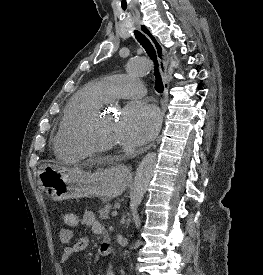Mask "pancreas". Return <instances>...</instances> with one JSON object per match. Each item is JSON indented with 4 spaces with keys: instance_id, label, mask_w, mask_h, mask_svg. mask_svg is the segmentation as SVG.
<instances>
[{
    "instance_id": "cf45deb5",
    "label": "pancreas",
    "mask_w": 263,
    "mask_h": 275,
    "mask_svg": "<svg viewBox=\"0 0 263 275\" xmlns=\"http://www.w3.org/2000/svg\"><path fill=\"white\" fill-rule=\"evenodd\" d=\"M102 202L105 204V206L100 208L98 213H99V218L101 220H104L109 218V212H110V209L112 208V205L109 203V199L107 198H102Z\"/></svg>"
}]
</instances>
